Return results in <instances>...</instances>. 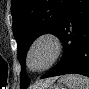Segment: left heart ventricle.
Listing matches in <instances>:
<instances>
[{
    "instance_id": "obj_1",
    "label": "left heart ventricle",
    "mask_w": 89,
    "mask_h": 89,
    "mask_svg": "<svg viewBox=\"0 0 89 89\" xmlns=\"http://www.w3.org/2000/svg\"><path fill=\"white\" fill-rule=\"evenodd\" d=\"M54 48L49 41L40 42L32 51L30 64L33 68L39 69L49 63L53 56Z\"/></svg>"
}]
</instances>
